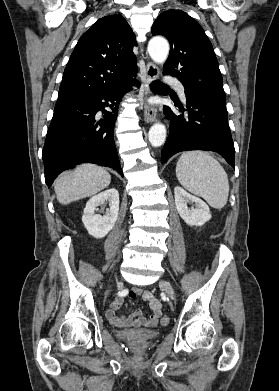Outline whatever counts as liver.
<instances>
[{
    "mask_svg": "<svg viewBox=\"0 0 279 391\" xmlns=\"http://www.w3.org/2000/svg\"><path fill=\"white\" fill-rule=\"evenodd\" d=\"M111 182L110 174L94 164H81L73 172L57 179L54 190L59 203L67 205L73 201L90 197Z\"/></svg>",
    "mask_w": 279,
    "mask_h": 391,
    "instance_id": "1",
    "label": "liver"
}]
</instances>
